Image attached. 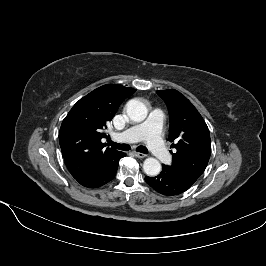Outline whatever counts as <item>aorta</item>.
<instances>
[{"instance_id":"obj_1","label":"aorta","mask_w":266,"mask_h":266,"mask_svg":"<svg viewBox=\"0 0 266 266\" xmlns=\"http://www.w3.org/2000/svg\"><path fill=\"white\" fill-rule=\"evenodd\" d=\"M126 113L134 122H142L147 117V107L137 99H132L126 104ZM143 170L149 176H156L161 171V164L155 158H147L143 163Z\"/></svg>"}]
</instances>
